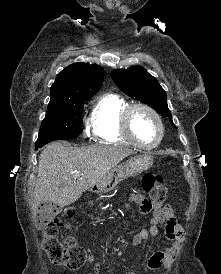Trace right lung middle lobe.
<instances>
[{
    "instance_id": "right-lung-middle-lobe-1",
    "label": "right lung middle lobe",
    "mask_w": 221,
    "mask_h": 274,
    "mask_svg": "<svg viewBox=\"0 0 221 274\" xmlns=\"http://www.w3.org/2000/svg\"><path fill=\"white\" fill-rule=\"evenodd\" d=\"M92 96L93 94L71 100L49 102L36 141V150L54 140L77 137L82 130L83 104Z\"/></svg>"
}]
</instances>
